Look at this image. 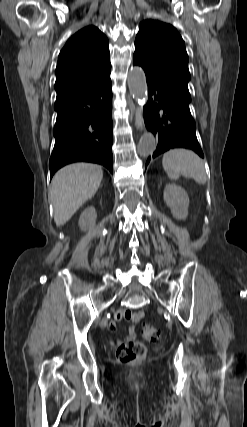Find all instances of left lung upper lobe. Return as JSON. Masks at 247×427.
<instances>
[{"label":"left lung upper lobe","instance_id":"5c2ea615","mask_svg":"<svg viewBox=\"0 0 247 427\" xmlns=\"http://www.w3.org/2000/svg\"><path fill=\"white\" fill-rule=\"evenodd\" d=\"M133 64L144 69L147 80L191 102L188 55L183 39L172 25L153 19L143 21L135 40Z\"/></svg>","mask_w":247,"mask_h":427}]
</instances>
